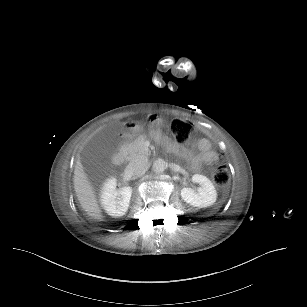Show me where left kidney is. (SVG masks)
I'll return each mask as SVG.
<instances>
[{
    "mask_svg": "<svg viewBox=\"0 0 307 307\" xmlns=\"http://www.w3.org/2000/svg\"><path fill=\"white\" fill-rule=\"evenodd\" d=\"M193 183H198L197 189L182 188L181 199L187 204L197 208H207L217 200V191L213 182L204 175L194 174L191 178Z\"/></svg>",
    "mask_w": 307,
    "mask_h": 307,
    "instance_id": "obj_1",
    "label": "left kidney"
}]
</instances>
